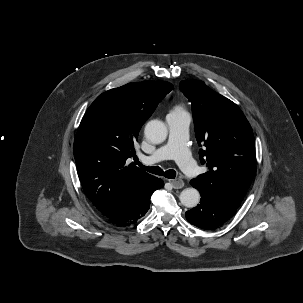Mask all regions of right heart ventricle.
<instances>
[{
  "label": "right heart ventricle",
  "mask_w": 303,
  "mask_h": 303,
  "mask_svg": "<svg viewBox=\"0 0 303 303\" xmlns=\"http://www.w3.org/2000/svg\"><path fill=\"white\" fill-rule=\"evenodd\" d=\"M185 113L184 109L181 106H175L169 114H181Z\"/></svg>",
  "instance_id": "obj_1"
}]
</instances>
